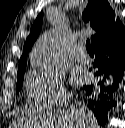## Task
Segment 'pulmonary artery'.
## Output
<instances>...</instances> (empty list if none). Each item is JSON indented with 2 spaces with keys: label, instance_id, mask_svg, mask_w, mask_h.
Instances as JSON below:
<instances>
[{
  "label": "pulmonary artery",
  "instance_id": "obj_1",
  "mask_svg": "<svg viewBox=\"0 0 125 128\" xmlns=\"http://www.w3.org/2000/svg\"><path fill=\"white\" fill-rule=\"evenodd\" d=\"M73 59L77 63H87L89 62V56L84 50V46L81 44L73 53Z\"/></svg>",
  "mask_w": 125,
  "mask_h": 128
}]
</instances>
